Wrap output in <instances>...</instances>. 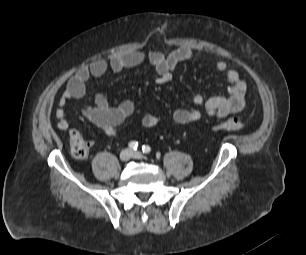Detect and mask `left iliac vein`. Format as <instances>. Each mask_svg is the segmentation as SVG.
Here are the masks:
<instances>
[{
    "label": "left iliac vein",
    "mask_w": 306,
    "mask_h": 255,
    "mask_svg": "<svg viewBox=\"0 0 306 255\" xmlns=\"http://www.w3.org/2000/svg\"><path fill=\"white\" fill-rule=\"evenodd\" d=\"M132 157L135 158V159H142L143 155L139 151H134V152H132Z\"/></svg>",
    "instance_id": "1"
}]
</instances>
